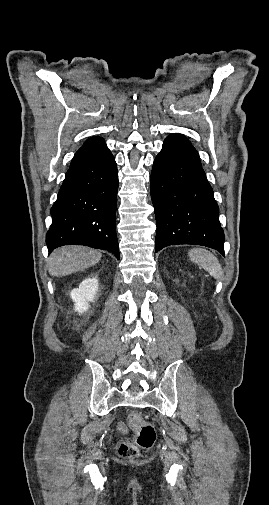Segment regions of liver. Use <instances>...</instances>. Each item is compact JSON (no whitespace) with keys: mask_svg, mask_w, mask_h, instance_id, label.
Here are the masks:
<instances>
[{"mask_svg":"<svg viewBox=\"0 0 269 505\" xmlns=\"http://www.w3.org/2000/svg\"><path fill=\"white\" fill-rule=\"evenodd\" d=\"M102 254L84 246H64L56 249L49 257V273L66 276L91 266L101 260Z\"/></svg>","mask_w":269,"mask_h":505,"instance_id":"liver-1","label":"liver"}]
</instances>
